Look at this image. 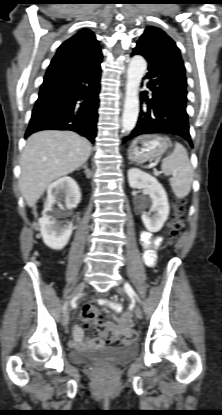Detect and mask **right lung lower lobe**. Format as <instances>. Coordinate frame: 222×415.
<instances>
[{"label":"right lung lower lobe","mask_w":222,"mask_h":415,"mask_svg":"<svg viewBox=\"0 0 222 415\" xmlns=\"http://www.w3.org/2000/svg\"><path fill=\"white\" fill-rule=\"evenodd\" d=\"M101 61L50 63L25 138L40 130H71L94 143Z\"/></svg>","instance_id":"1"}]
</instances>
